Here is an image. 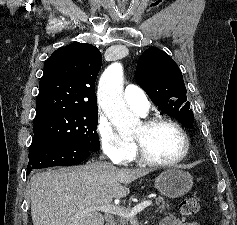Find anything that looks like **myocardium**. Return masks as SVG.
<instances>
[{
	"mask_svg": "<svg viewBox=\"0 0 237 225\" xmlns=\"http://www.w3.org/2000/svg\"><path fill=\"white\" fill-rule=\"evenodd\" d=\"M158 125H169L177 130V132L182 137L184 143V149L182 153L173 160L168 161L157 160L147 155L140 141H138L137 139H133L134 155L136 159L142 164L156 167H170L179 164L187 157L190 150V140L186 131L178 122L169 118L154 117L146 119L142 122V126L146 130L152 129Z\"/></svg>",
	"mask_w": 237,
	"mask_h": 225,
	"instance_id": "1",
	"label": "myocardium"
}]
</instances>
